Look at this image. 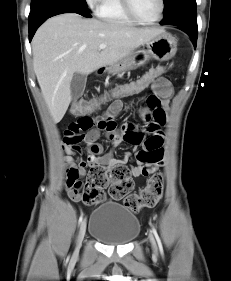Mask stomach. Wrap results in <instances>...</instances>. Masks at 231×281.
I'll use <instances>...</instances> for the list:
<instances>
[{"mask_svg": "<svg viewBox=\"0 0 231 281\" xmlns=\"http://www.w3.org/2000/svg\"><path fill=\"white\" fill-rule=\"evenodd\" d=\"M177 51V42L174 37L165 31L145 43L142 49H136L107 69L111 73L134 70L145 65L150 59L167 61Z\"/></svg>", "mask_w": 231, "mask_h": 281, "instance_id": "1", "label": "stomach"}]
</instances>
